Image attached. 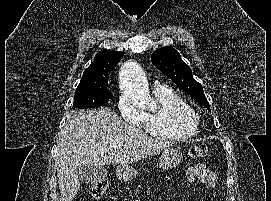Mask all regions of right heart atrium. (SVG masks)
Returning <instances> with one entry per match:
<instances>
[{
	"label": "right heart atrium",
	"mask_w": 271,
	"mask_h": 201,
	"mask_svg": "<svg viewBox=\"0 0 271 201\" xmlns=\"http://www.w3.org/2000/svg\"><path fill=\"white\" fill-rule=\"evenodd\" d=\"M118 108L123 117L133 125L143 127L145 113L136 107L129 96L121 95L118 99Z\"/></svg>",
	"instance_id": "d8ad5b80"
}]
</instances>
